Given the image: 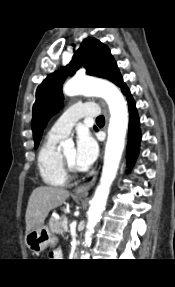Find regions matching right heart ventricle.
<instances>
[{"label": "right heart ventricle", "instance_id": "right-heart-ventricle-1", "mask_svg": "<svg viewBox=\"0 0 175 287\" xmlns=\"http://www.w3.org/2000/svg\"><path fill=\"white\" fill-rule=\"evenodd\" d=\"M60 140V137L49 133L37 156V167L43 182L54 187H62L68 183V174L62 165L58 149Z\"/></svg>", "mask_w": 175, "mask_h": 287}]
</instances>
